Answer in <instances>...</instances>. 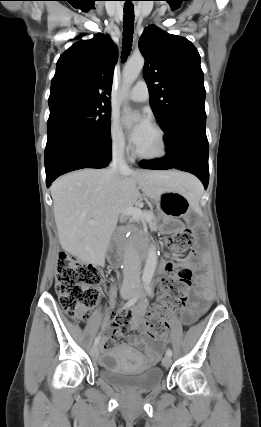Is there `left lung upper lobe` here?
Listing matches in <instances>:
<instances>
[{
  "label": "left lung upper lobe",
  "instance_id": "obj_1",
  "mask_svg": "<svg viewBox=\"0 0 261 427\" xmlns=\"http://www.w3.org/2000/svg\"><path fill=\"white\" fill-rule=\"evenodd\" d=\"M139 48L151 108L162 129L183 111L205 112L200 55L189 40L151 25L144 29Z\"/></svg>",
  "mask_w": 261,
  "mask_h": 427
}]
</instances>
